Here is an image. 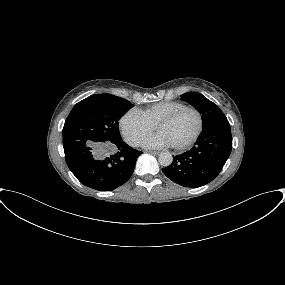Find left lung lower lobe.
I'll return each mask as SVG.
<instances>
[{
    "instance_id": "left-lung-lower-lobe-1",
    "label": "left lung lower lobe",
    "mask_w": 285,
    "mask_h": 285,
    "mask_svg": "<svg viewBox=\"0 0 285 285\" xmlns=\"http://www.w3.org/2000/svg\"><path fill=\"white\" fill-rule=\"evenodd\" d=\"M232 149L230 124L215 123L203 127L194 147L173 162L163 173L173 182L190 188L201 187L215 179Z\"/></svg>"
}]
</instances>
